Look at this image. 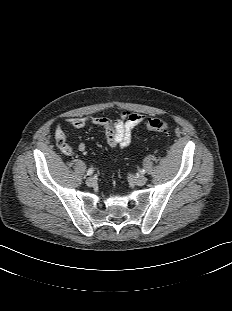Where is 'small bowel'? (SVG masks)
<instances>
[{
    "mask_svg": "<svg viewBox=\"0 0 232 311\" xmlns=\"http://www.w3.org/2000/svg\"><path fill=\"white\" fill-rule=\"evenodd\" d=\"M145 119L140 113L123 112L118 119L111 120L105 117H77L68 118L67 124L72 128H82L87 124L103 127L107 144L111 148H125L131 143L133 130L139 126ZM55 138L58 148L67 155H73L74 151L67 143L65 132L60 126L55 128ZM80 152H85L86 145H78Z\"/></svg>",
    "mask_w": 232,
    "mask_h": 311,
    "instance_id": "obj_1",
    "label": "small bowel"
}]
</instances>
